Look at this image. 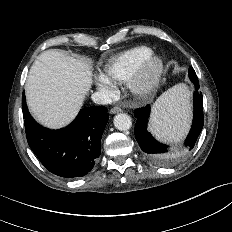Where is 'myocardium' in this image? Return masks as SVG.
Here are the masks:
<instances>
[{
  "instance_id": "1",
  "label": "myocardium",
  "mask_w": 232,
  "mask_h": 232,
  "mask_svg": "<svg viewBox=\"0 0 232 232\" xmlns=\"http://www.w3.org/2000/svg\"><path fill=\"white\" fill-rule=\"evenodd\" d=\"M164 72V60L157 54L146 58L128 80L131 92L138 97L150 95L159 85Z\"/></svg>"
}]
</instances>
